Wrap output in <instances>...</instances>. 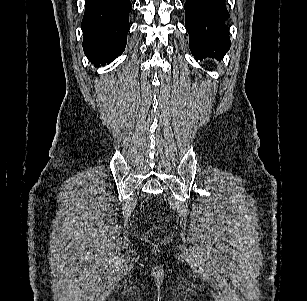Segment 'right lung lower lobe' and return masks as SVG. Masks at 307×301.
<instances>
[{
  "instance_id": "98d812e1",
  "label": "right lung lower lobe",
  "mask_w": 307,
  "mask_h": 301,
  "mask_svg": "<svg viewBox=\"0 0 307 301\" xmlns=\"http://www.w3.org/2000/svg\"><path fill=\"white\" fill-rule=\"evenodd\" d=\"M131 9L130 0H85L82 45L92 64L108 63L122 54Z\"/></svg>"
}]
</instances>
